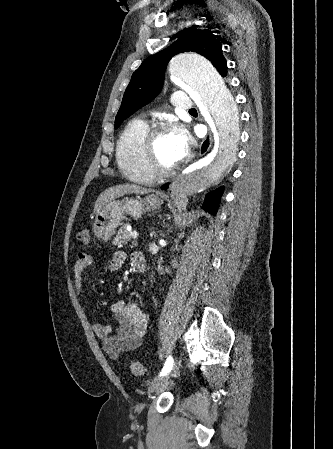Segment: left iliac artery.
I'll return each instance as SVG.
<instances>
[{
    "mask_svg": "<svg viewBox=\"0 0 333 449\" xmlns=\"http://www.w3.org/2000/svg\"><path fill=\"white\" fill-rule=\"evenodd\" d=\"M173 363H174L173 358L171 356H168L159 376H164L168 374L173 367Z\"/></svg>",
    "mask_w": 333,
    "mask_h": 449,
    "instance_id": "left-iliac-artery-1",
    "label": "left iliac artery"
}]
</instances>
